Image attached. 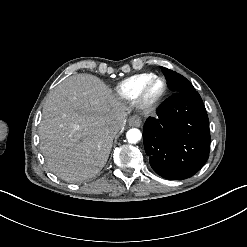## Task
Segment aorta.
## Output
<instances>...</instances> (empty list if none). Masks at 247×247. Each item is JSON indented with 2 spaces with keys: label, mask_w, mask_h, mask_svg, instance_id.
Returning a JSON list of instances; mask_svg holds the SVG:
<instances>
[{
  "label": "aorta",
  "mask_w": 247,
  "mask_h": 247,
  "mask_svg": "<svg viewBox=\"0 0 247 247\" xmlns=\"http://www.w3.org/2000/svg\"><path fill=\"white\" fill-rule=\"evenodd\" d=\"M126 138L130 143H136L141 140L142 134L139 129H130L126 134Z\"/></svg>",
  "instance_id": "1"
}]
</instances>
